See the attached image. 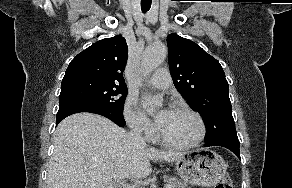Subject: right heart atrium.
I'll return each mask as SVG.
<instances>
[{
	"instance_id": "d8ad5b80",
	"label": "right heart atrium",
	"mask_w": 292,
	"mask_h": 188,
	"mask_svg": "<svg viewBox=\"0 0 292 188\" xmlns=\"http://www.w3.org/2000/svg\"><path fill=\"white\" fill-rule=\"evenodd\" d=\"M124 118L129 128L137 134L148 137L153 132V125L146 115L136 107V101L128 97L124 104Z\"/></svg>"
}]
</instances>
